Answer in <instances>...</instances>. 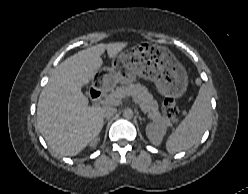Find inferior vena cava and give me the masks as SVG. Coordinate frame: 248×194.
<instances>
[{"mask_svg":"<svg viewBox=\"0 0 248 194\" xmlns=\"http://www.w3.org/2000/svg\"><path fill=\"white\" fill-rule=\"evenodd\" d=\"M117 112V109L114 107H105L104 111H103V116L106 119H110L111 117H113Z\"/></svg>","mask_w":248,"mask_h":194,"instance_id":"inferior-vena-cava-1","label":"inferior vena cava"}]
</instances>
